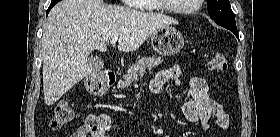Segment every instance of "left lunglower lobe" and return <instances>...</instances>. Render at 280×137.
Here are the masks:
<instances>
[{"mask_svg": "<svg viewBox=\"0 0 280 137\" xmlns=\"http://www.w3.org/2000/svg\"><path fill=\"white\" fill-rule=\"evenodd\" d=\"M229 30L232 31L235 34V36L239 39L237 29H229Z\"/></svg>", "mask_w": 280, "mask_h": 137, "instance_id": "1", "label": "left lung lower lobe"}]
</instances>
